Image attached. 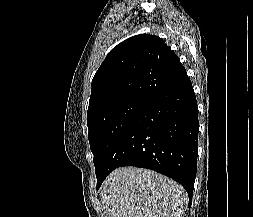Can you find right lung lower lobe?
I'll return each instance as SVG.
<instances>
[{"label":"right lung lower lobe","mask_w":253,"mask_h":217,"mask_svg":"<svg viewBox=\"0 0 253 217\" xmlns=\"http://www.w3.org/2000/svg\"><path fill=\"white\" fill-rule=\"evenodd\" d=\"M198 131L197 101L184 69L171 84L149 99L122 133L106 160L97 189L114 169L136 166L174 179L186 189L191 200Z\"/></svg>","instance_id":"98d812e1"}]
</instances>
